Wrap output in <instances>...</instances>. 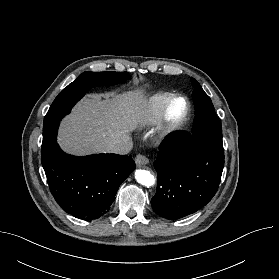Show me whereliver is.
<instances>
[{"label": "liver", "instance_id": "obj_1", "mask_svg": "<svg viewBox=\"0 0 279 279\" xmlns=\"http://www.w3.org/2000/svg\"><path fill=\"white\" fill-rule=\"evenodd\" d=\"M140 90L122 94H91L81 100L61 123L58 143L70 154L106 152L108 144L129 138L145 115Z\"/></svg>", "mask_w": 279, "mask_h": 279}]
</instances>
